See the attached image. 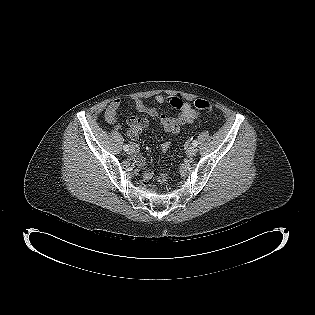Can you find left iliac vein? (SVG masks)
Returning <instances> with one entry per match:
<instances>
[{
	"instance_id": "obj_1",
	"label": "left iliac vein",
	"mask_w": 315,
	"mask_h": 315,
	"mask_svg": "<svg viewBox=\"0 0 315 315\" xmlns=\"http://www.w3.org/2000/svg\"><path fill=\"white\" fill-rule=\"evenodd\" d=\"M186 153L188 156H194L197 153V148L195 146H190Z\"/></svg>"
}]
</instances>
